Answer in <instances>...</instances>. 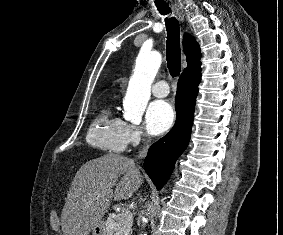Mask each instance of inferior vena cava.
<instances>
[{"label": "inferior vena cava", "instance_id": "obj_1", "mask_svg": "<svg viewBox=\"0 0 283 235\" xmlns=\"http://www.w3.org/2000/svg\"><path fill=\"white\" fill-rule=\"evenodd\" d=\"M148 143L149 141L146 143V145H144L142 151L139 152L138 158H144L146 156L149 147Z\"/></svg>", "mask_w": 283, "mask_h": 235}]
</instances>
